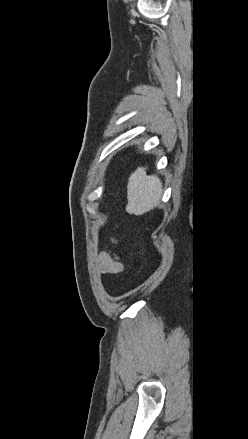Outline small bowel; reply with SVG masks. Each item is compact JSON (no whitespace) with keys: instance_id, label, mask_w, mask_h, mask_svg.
Returning <instances> with one entry per match:
<instances>
[{"instance_id":"1","label":"small bowel","mask_w":248,"mask_h":439,"mask_svg":"<svg viewBox=\"0 0 248 439\" xmlns=\"http://www.w3.org/2000/svg\"><path fill=\"white\" fill-rule=\"evenodd\" d=\"M113 244L117 243L116 238H111ZM98 269L103 274H117L123 271L122 258L110 250H104L98 256Z\"/></svg>"}]
</instances>
